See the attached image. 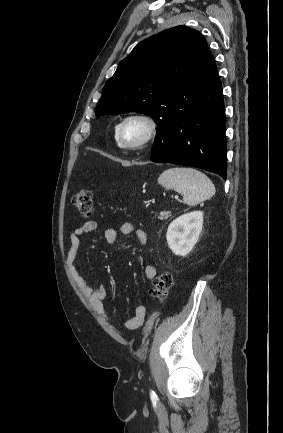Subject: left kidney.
Masks as SVG:
<instances>
[{"instance_id":"left-kidney-1","label":"left kidney","mask_w":283,"mask_h":433,"mask_svg":"<svg viewBox=\"0 0 283 433\" xmlns=\"http://www.w3.org/2000/svg\"><path fill=\"white\" fill-rule=\"evenodd\" d=\"M203 226V212L193 211L174 219L167 230L166 239L175 255L186 256L197 243Z\"/></svg>"}]
</instances>
